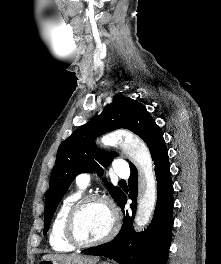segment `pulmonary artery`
I'll use <instances>...</instances> for the list:
<instances>
[{"label":"pulmonary artery","mask_w":221,"mask_h":264,"mask_svg":"<svg viewBox=\"0 0 221 264\" xmlns=\"http://www.w3.org/2000/svg\"><path fill=\"white\" fill-rule=\"evenodd\" d=\"M114 171L121 178H126L129 176V168L127 164L121 159H117L115 161ZM91 179H92L91 173L88 172L80 173L76 177V183L80 189H85L90 185Z\"/></svg>","instance_id":"pulmonary-artery-1"}]
</instances>
